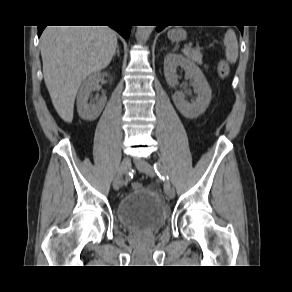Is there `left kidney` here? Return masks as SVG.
<instances>
[{
	"mask_svg": "<svg viewBox=\"0 0 292 292\" xmlns=\"http://www.w3.org/2000/svg\"><path fill=\"white\" fill-rule=\"evenodd\" d=\"M181 67L185 75L192 80L196 99L191 103L185 100L182 92L176 91L172 96L173 102L180 113L189 119L203 114L212 98L211 88L200 68L182 55L170 53L164 58V76L169 86L178 84L177 68Z\"/></svg>",
	"mask_w": 292,
	"mask_h": 292,
	"instance_id": "5707ae66",
	"label": "left kidney"
}]
</instances>
